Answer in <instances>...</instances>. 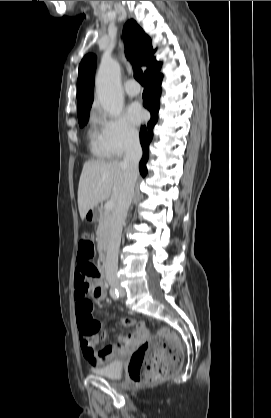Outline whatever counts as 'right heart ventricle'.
I'll list each match as a JSON object with an SVG mask.
<instances>
[{
  "mask_svg": "<svg viewBox=\"0 0 271 418\" xmlns=\"http://www.w3.org/2000/svg\"><path fill=\"white\" fill-rule=\"evenodd\" d=\"M89 149L91 153L99 159L112 157L108 150L102 132V127L97 118L93 117L91 126L88 130Z\"/></svg>",
  "mask_w": 271,
  "mask_h": 418,
  "instance_id": "right-heart-ventricle-1",
  "label": "right heart ventricle"
}]
</instances>
